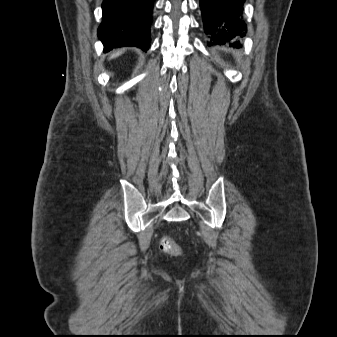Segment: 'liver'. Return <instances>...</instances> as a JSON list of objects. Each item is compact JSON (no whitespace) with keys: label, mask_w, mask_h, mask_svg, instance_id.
<instances>
[{"label":"liver","mask_w":337,"mask_h":337,"mask_svg":"<svg viewBox=\"0 0 337 337\" xmlns=\"http://www.w3.org/2000/svg\"><path fill=\"white\" fill-rule=\"evenodd\" d=\"M120 54H121V52H120V51H117L116 53H113V54L111 55L110 58L117 57V56H119Z\"/></svg>","instance_id":"6515ba94"}]
</instances>
